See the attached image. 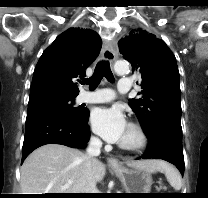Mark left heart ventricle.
Here are the masks:
<instances>
[{
    "label": "left heart ventricle",
    "mask_w": 208,
    "mask_h": 198,
    "mask_svg": "<svg viewBox=\"0 0 208 198\" xmlns=\"http://www.w3.org/2000/svg\"><path fill=\"white\" fill-rule=\"evenodd\" d=\"M137 140V134L136 132L131 128V127H127L120 142L123 143H133Z\"/></svg>",
    "instance_id": "1"
}]
</instances>
